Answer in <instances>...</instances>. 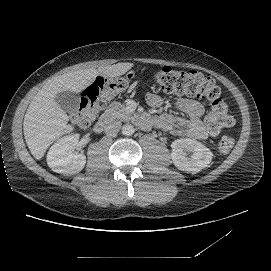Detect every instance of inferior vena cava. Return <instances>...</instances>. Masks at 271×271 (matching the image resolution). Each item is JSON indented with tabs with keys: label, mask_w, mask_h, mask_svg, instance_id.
<instances>
[{
	"label": "inferior vena cava",
	"mask_w": 271,
	"mask_h": 271,
	"mask_svg": "<svg viewBox=\"0 0 271 271\" xmlns=\"http://www.w3.org/2000/svg\"><path fill=\"white\" fill-rule=\"evenodd\" d=\"M121 128V122L117 119H108L104 124V132L107 135H116Z\"/></svg>",
	"instance_id": "inferior-vena-cava-1"
}]
</instances>
